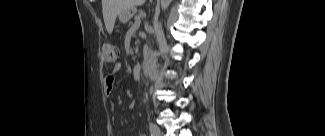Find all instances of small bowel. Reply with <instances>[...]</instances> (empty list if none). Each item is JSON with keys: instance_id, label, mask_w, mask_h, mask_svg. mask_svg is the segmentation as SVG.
<instances>
[{"instance_id": "c3829d8e", "label": "small bowel", "mask_w": 325, "mask_h": 136, "mask_svg": "<svg viewBox=\"0 0 325 136\" xmlns=\"http://www.w3.org/2000/svg\"><path fill=\"white\" fill-rule=\"evenodd\" d=\"M120 69V66L115 67V71H118ZM114 89V76L113 75H107L104 78V84H103V92L106 97H110L113 93Z\"/></svg>"}]
</instances>
